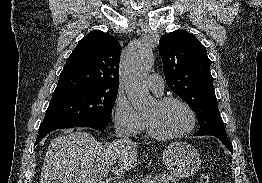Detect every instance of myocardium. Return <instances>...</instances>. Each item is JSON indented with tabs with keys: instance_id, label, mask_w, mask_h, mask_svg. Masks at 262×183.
Returning a JSON list of instances; mask_svg holds the SVG:
<instances>
[{
	"instance_id": "obj_1",
	"label": "myocardium",
	"mask_w": 262,
	"mask_h": 183,
	"mask_svg": "<svg viewBox=\"0 0 262 183\" xmlns=\"http://www.w3.org/2000/svg\"><path fill=\"white\" fill-rule=\"evenodd\" d=\"M171 103H178L187 109L191 117L190 126L186 130L180 133H177V134H170V135L162 134L153 127V125L150 123V121L147 118H145L146 128L151 137L158 139V140H174V139H178V138L187 136L195 129L196 124H197V115L193 107L188 102L178 97H164L158 100L157 102V104L160 107H165Z\"/></svg>"
}]
</instances>
